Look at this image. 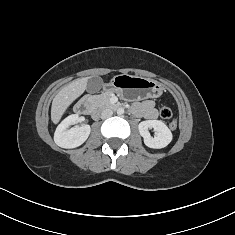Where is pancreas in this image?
Instances as JSON below:
<instances>
[{
  "label": "pancreas",
  "mask_w": 235,
  "mask_h": 235,
  "mask_svg": "<svg viewBox=\"0 0 235 235\" xmlns=\"http://www.w3.org/2000/svg\"><path fill=\"white\" fill-rule=\"evenodd\" d=\"M111 93L105 92L100 95H94L92 99V103L99 107H108L111 106L112 103L110 102Z\"/></svg>",
  "instance_id": "pancreas-1"
}]
</instances>
